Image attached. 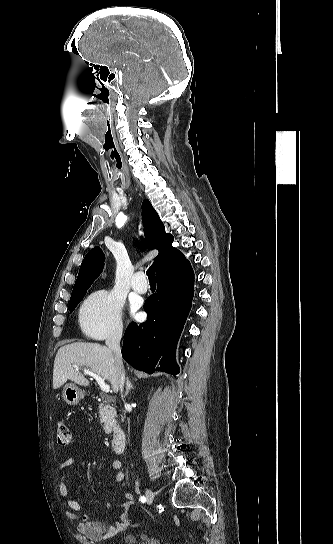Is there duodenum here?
<instances>
[{"mask_svg": "<svg viewBox=\"0 0 333 544\" xmlns=\"http://www.w3.org/2000/svg\"><path fill=\"white\" fill-rule=\"evenodd\" d=\"M126 444V435L125 431L122 428H118L115 430L112 440H111V446L115 453L120 454L124 451Z\"/></svg>", "mask_w": 333, "mask_h": 544, "instance_id": "obj_1", "label": "duodenum"}]
</instances>
